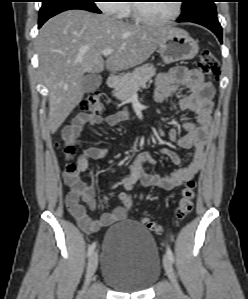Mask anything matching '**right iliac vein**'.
Returning a JSON list of instances; mask_svg holds the SVG:
<instances>
[{"instance_id":"1","label":"right iliac vein","mask_w":248,"mask_h":299,"mask_svg":"<svg viewBox=\"0 0 248 299\" xmlns=\"http://www.w3.org/2000/svg\"><path fill=\"white\" fill-rule=\"evenodd\" d=\"M98 266V255L97 252L92 253L90 256L87 271H86V280H85V288L89 285L92 280Z\"/></svg>"}]
</instances>
